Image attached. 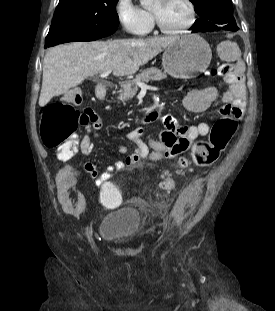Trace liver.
Returning a JSON list of instances; mask_svg holds the SVG:
<instances>
[{"label":"liver","mask_w":275,"mask_h":311,"mask_svg":"<svg viewBox=\"0 0 275 311\" xmlns=\"http://www.w3.org/2000/svg\"><path fill=\"white\" fill-rule=\"evenodd\" d=\"M176 37L77 42L54 47L43 61L39 105L77 87L85 78L111 70L132 75L162 52Z\"/></svg>","instance_id":"liver-1"}]
</instances>
